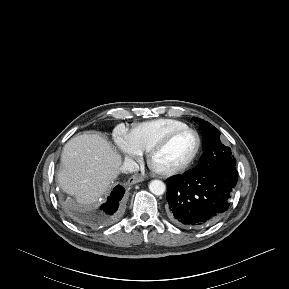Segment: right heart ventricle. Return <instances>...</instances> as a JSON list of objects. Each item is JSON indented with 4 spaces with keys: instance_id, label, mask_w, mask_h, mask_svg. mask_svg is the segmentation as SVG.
Here are the masks:
<instances>
[{
    "instance_id": "e07e8e85",
    "label": "right heart ventricle",
    "mask_w": 289,
    "mask_h": 289,
    "mask_svg": "<svg viewBox=\"0 0 289 289\" xmlns=\"http://www.w3.org/2000/svg\"><path fill=\"white\" fill-rule=\"evenodd\" d=\"M188 127L184 122L161 118L146 121L134 126L130 133L131 140L135 147L141 152H148L150 148L169 132Z\"/></svg>"
}]
</instances>
